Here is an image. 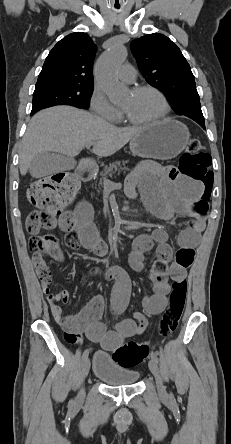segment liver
<instances>
[{"label":"liver","mask_w":231,"mask_h":444,"mask_svg":"<svg viewBox=\"0 0 231 444\" xmlns=\"http://www.w3.org/2000/svg\"><path fill=\"white\" fill-rule=\"evenodd\" d=\"M145 127L118 128L100 117L71 106H55L36 113L20 143L19 169L25 175L33 158L43 152H56L68 158L77 156L87 143L100 157L111 156Z\"/></svg>","instance_id":"6515ba94"}]
</instances>
